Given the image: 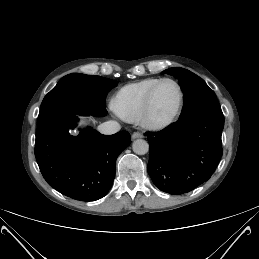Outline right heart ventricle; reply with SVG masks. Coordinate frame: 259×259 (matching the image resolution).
<instances>
[{
	"instance_id": "1",
	"label": "right heart ventricle",
	"mask_w": 259,
	"mask_h": 259,
	"mask_svg": "<svg viewBox=\"0 0 259 259\" xmlns=\"http://www.w3.org/2000/svg\"><path fill=\"white\" fill-rule=\"evenodd\" d=\"M159 79L145 78L123 86L114 99V108L118 115L127 121L138 120L149 90Z\"/></svg>"
}]
</instances>
